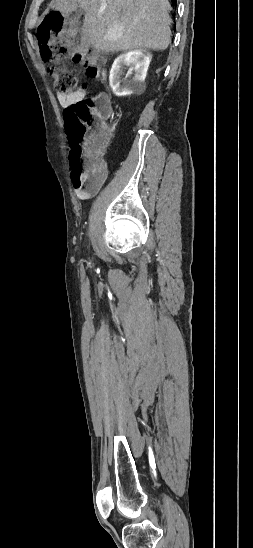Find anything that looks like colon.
Wrapping results in <instances>:
<instances>
[{"instance_id": "5ec220e1", "label": "colon", "mask_w": 253, "mask_h": 548, "mask_svg": "<svg viewBox=\"0 0 253 548\" xmlns=\"http://www.w3.org/2000/svg\"><path fill=\"white\" fill-rule=\"evenodd\" d=\"M37 36L42 59L51 64L48 73L59 92L71 94L78 89L76 77L62 64L68 58L74 64L83 66L88 76H97L94 53L80 43H69L65 19L60 12L51 11L45 16L38 27ZM109 114L110 104L103 97L82 99L65 110L71 144L69 162L74 185L91 183L103 174L105 166L101 155L109 129L100 120L108 118Z\"/></svg>"}]
</instances>
